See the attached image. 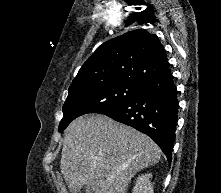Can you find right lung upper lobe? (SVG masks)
I'll use <instances>...</instances> for the list:
<instances>
[{"label":"right lung upper lobe","instance_id":"right-lung-upper-lobe-1","mask_svg":"<svg viewBox=\"0 0 221 193\" xmlns=\"http://www.w3.org/2000/svg\"><path fill=\"white\" fill-rule=\"evenodd\" d=\"M170 73L157 35L137 29L100 45L82 65L69 90L117 82L142 84Z\"/></svg>","mask_w":221,"mask_h":193}]
</instances>
